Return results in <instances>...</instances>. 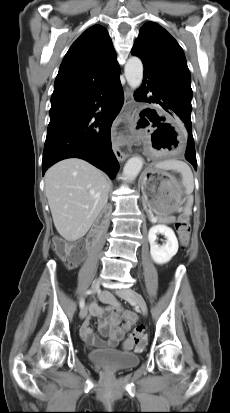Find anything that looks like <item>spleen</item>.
Returning <instances> with one entry per match:
<instances>
[{"mask_svg": "<svg viewBox=\"0 0 230 413\" xmlns=\"http://www.w3.org/2000/svg\"><path fill=\"white\" fill-rule=\"evenodd\" d=\"M156 168L161 170H171L178 172L182 177V185L185 187V192L188 195L187 204L184 208V214L189 216L192 213L191 207L193 204L192 192L194 189V178L190 167L183 161L170 159L165 160L156 165Z\"/></svg>", "mask_w": 230, "mask_h": 413, "instance_id": "obj_1", "label": "spleen"}]
</instances>
